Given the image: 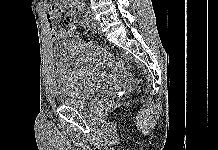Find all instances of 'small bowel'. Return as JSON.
Wrapping results in <instances>:
<instances>
[{
  "label": "small bowel",
  "mask_w": 218,
  "mask_h": 150,
  "mask_svg": "<svg viewBox=\"0 0 218 150\" xmlns=\"http://www.w3.org/2000/svg\"><path fill=\"white\" fill-rule=\"evenodd\" d=\"M79 0H59L56 7L48 10L46 14V20L49 27L52 38L65 37L66 31L59 27L58 20L60 15L64 12L63 7H73L75 12L81 11Z\"/></svg>",
  "instance_id": "1"
}]
</instances>
